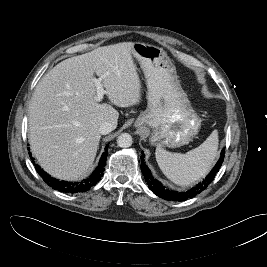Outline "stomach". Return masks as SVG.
Masks as SVG:
<instances>
[{
  "label": "stomach",
  "mask_w": 267,
  "mask_h": 267,
  "mask_svg": "<svg viewBox=\"0 0 267 267\" xmlns=\"http://www.w3.org/2000/svg\"><path fill=\"white\" fill-rule=\"evenodd\" d=\"M132 55L146 78L148 100L135 127L151 128V144L158 147L188 144L198 134L201 119L179 83L175 65L162 48L150 44L133 43Z\"/></svg>",
  "instance_id": "stomach-1"
}]
</instances>
